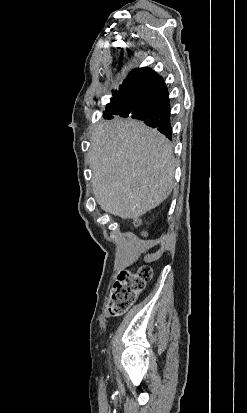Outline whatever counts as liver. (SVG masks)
I'll use <instances>...</instances> for the list:
<instances>
[{
    "label": "liver",
    "instance_id": "liver-1",
    "mask_svg": "<svg viewBox=\"0 0 247 413\" xmlns=\"http://www.w3.org/2000/svg\"><path fill=\"white\" fill-rule=\"evenodd\" d=\"M89 164L101 209L139 219L170 194L175 158L166 136L135 118L100 122L91 138Z\"/></svg>",
    "mask_w": 247,
    "mask_h": 413
}]
</instances>
